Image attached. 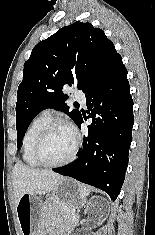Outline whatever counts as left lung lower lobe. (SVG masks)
<instances>
[{
  "label": "left lung lower lobe",
  "mask_w": 155,
  "mask_h": 235,
  "mask_svg": "<svg viewBox=\"0 0 155 235\" xmlns=\"http://www.w3.org/2000/svg\"><path fill=\"white\" fill-rule=\"evenodd\" d=\"M85 96L88 118H92L88 135L78 158L53 171L99 188L115 201L125 179L134 124L133 100L121 56ZM82 122L81 116L79 128Z\"/></svg>",
  "instance_id": "0a47b994"
}]
</instances>
